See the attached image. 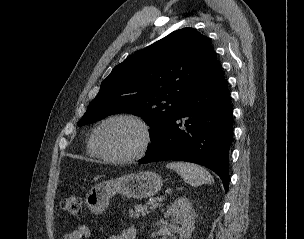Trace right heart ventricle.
Listing matches in <instances>:
<instances>
[{"mask_svg": "<svg viewBox=\"0 0 304 239\" xmlns=\"http://www.w3.org/2000/svg\"><path fill=\"white\" fill-rule=\"evenodd\" d=\"M87 151H88V153H89L90 156H92V157H99L97 155V153L95 152V150L93 149V147H92L91 138H90V140L88 141V144H87Z\"/></svg>", "mask_w": 304, "mask_h": 239, "instance_id": "e07e8e85", "label": "right heart ventricle"}]
</instances>
